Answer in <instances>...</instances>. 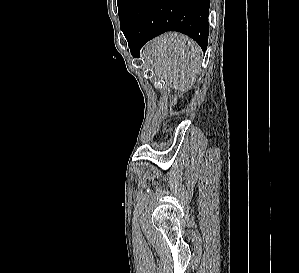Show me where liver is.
I'll return each instance as SVG.
<instances>
[{
	"instance_id": "liver-1",
	"label": "liver",
	"mask_w": 299,
	"mask_h": 273,
	"mask_svg": "<svg viewBox=\"0 0 299 273\" xmlns=\"http://www.w3.org/2000/svg\"><path fill=\"white\" fill-rule=\"evenodd\" d=\"M142 54L155 73L179 92L188 90L200 73V47L179 33H166L154 39L144 47Z\"/></svg>"
}]
</instances>
